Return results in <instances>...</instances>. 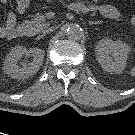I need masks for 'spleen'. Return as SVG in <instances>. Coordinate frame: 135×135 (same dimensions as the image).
I'll use <instances>...</instances> for the list:
<instances>
[{"label":"spleen","mask_w":135,"mask_h":135,"mask_svg":"<svg viewBox=\"0 0 135 135\" xmlns=\"http://www.w3.org/2000/svg\"><path fill=\"white\" fill-rule=\"evenodd\" d=\"M131 77H135V66L130 71Z\"/></svg>","instance_id":"1"}]
</instances>
